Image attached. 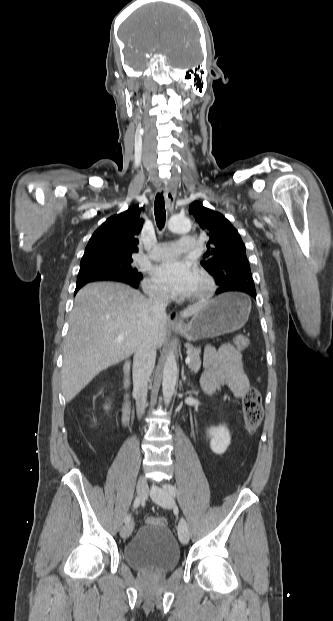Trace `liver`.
Segmentation results:
<instances>
[{
  "label": "liver",
  "mask_w": 333,
  "mask_h": 621,
  "mask_svg": "<svg viewBox=\"0 0 333 621\" xmlns=\"http://www.w3.org/2000/svg\"><path fill=\"white\" fill-rule=\"evenodd\" d=\"M207 301L182 312L188 318ZM167 316L154 313L148 300L124 284L90 283L75 296L63 348L62 392L70 402L102 370L129 358L143 336L161 348L167 336ZM119 335L123 339L118 341Z\"/></svg>",
  "instance_id": "obj_1"
}]
</instances>
